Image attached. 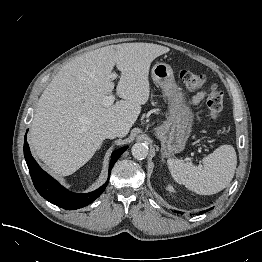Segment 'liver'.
Here are the masks:
<instances>
[{
	"mask_svg": "<svg viewBox=\"0 0 262 262\" xmlns=\"http://www.w3.org/2000/svg\"><path fill=\"white\" fill-rule=\"evenodd\" d=\"M170 49L153 43H123L78 56L64 65L43 91L31 124L30 146L54 174L68 176L87 163L115 124L128 134L149 99L152 61ZM121 72L116 91L123 100L105 106L114 89L112 70Z\"/></svg>",
	"mask_w": 262,
	"mask_h": 262,
	"instance_id": "obj_1",
	"label": "liver"
}]
</instances>
